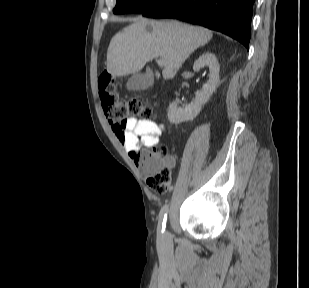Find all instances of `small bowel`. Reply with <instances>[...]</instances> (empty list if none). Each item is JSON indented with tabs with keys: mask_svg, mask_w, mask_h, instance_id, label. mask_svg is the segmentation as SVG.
Masks as SVG:
<instances>
[{
	"mask_svg": "<svg viewBox=\"0 0 309 288\" xmlns=\"http://www.w3.org/2000/svg\"><path fill=\"white\" fill-rule=\"evenodd\" d=\"M164 130L165 125L154 119L136 118H130L114 128L119 142L131 156L141 147L156 145Z\"/></svg>",
	"mask_w": 309,
	"mask_h": 288,
	"instance_id": "small-bowel-1",
	"label": "small bowel"
}]
</instances>
